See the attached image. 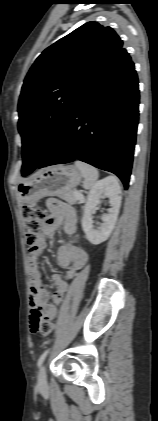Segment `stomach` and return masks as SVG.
Returning a JSON list of instances; mask_svg holds the SVG:
<instances>
[{"label": "stomach", "mask_w": 158, "mask_h": 421, "mask_svg": "<svg viewBox=\"0 0 158 421\" xmlns=\"http://www.w3.org/2000/svg\"><path fill=\"white\" fill-rule=\"evenodd\" d=\"M82 175L71 165L45 168L18 186L20 199L25 204H35L45 196H61L80 184Z\"/></svg>", "instance_id": "1"}]
</instances>
